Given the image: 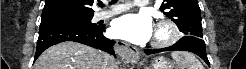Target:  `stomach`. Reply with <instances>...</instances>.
Wrapping results in <instances>:
<instances>
[{
    "instance_id": "0dacf381",
    "label": "stomach",
    "mask_w": 246,
    "mask_h": 69,
    "mask_svg": "<svg viewBox=\"0 0 246 69\" xmlns=\"http://www.w3.org/2000/svg\"><path fill=\"white\" fill-rule=\"evenodd\" d=\"M143 69H174L173 65L165 57H156L150 65Z\"/></svg>"
}]
</instances>
